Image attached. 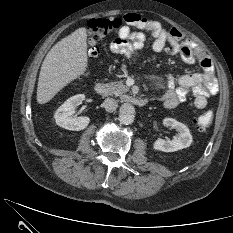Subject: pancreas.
Instances as JSON below:
<instances>
[{
  "instance_id": "pancreas-1",
  "label": "pancreas",
  "mask_w": 233,
  "mask_h": 233,
  "mask_svg": "<svg viewBox=\"0 0 233 233\" xmlns=\"http://www.w3.org/2000/svg\"><path fill=\"white\" fill-rule=\"evenodd\" d=\"M107 90L109 95L122 96L129 91V87L123 81H115L107 84Z\"/></svg>"
}]
</instances>
